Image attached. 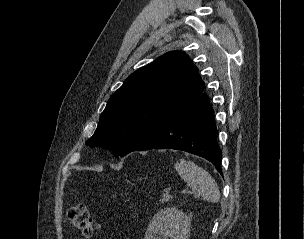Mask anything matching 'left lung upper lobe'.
I'll use <instances>...</instances> for the list:
<instances>
[{"mask_svg": "<svg viewBox=\"0 0 304 239\" xmlns=\"http://www.w3.org/2000/svg\"><path fill=\"white\" fill-rule=\"evenodd\" d=\"M203 91L204 82L189 56L181 51L168 52L125 80L108 100L86 144L125 156Z\"/></svg>", "mask_w": 304, "mask_h": 239, "instance_id": "left-lung-upper-lobe-1", "label": "left lung upper lobe"}]
</instances>
